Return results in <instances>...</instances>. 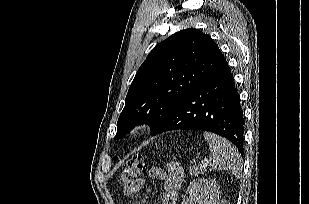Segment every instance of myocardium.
Masks as SVG:
<instances>
[{"mask_svg":"<svg viewBox=\"0 0 309 204\" xmlns=\"http://www.w3.org/2000/svg\"><path fill=\"white\" fill-rule=\"evenodd\" d=\"M146 130V125L145 124H139L133 127L131 130V135L133 137H138L140 136L144 131Z\"/></svg>","mask_w":309,"mask_h":204,"instance_id":"myocardium-1","label":"myocardium"}]
</instances>
